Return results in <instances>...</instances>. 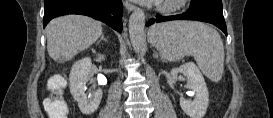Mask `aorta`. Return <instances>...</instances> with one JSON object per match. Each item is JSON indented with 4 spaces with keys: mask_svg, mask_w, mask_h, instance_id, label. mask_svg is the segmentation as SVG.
Returning a JSON list of instances; mask_svg holds the SVG:
<instances>
[{
    "mask_svg": "<svg viewBox=\"0 0 273 118\" xmlns=\"http://www.w3.org/2000/svg\"><path fill=\"white\" fill-rule=\"evenodd\" d=\"M145 14L137 8L129 18V34L133 49L140 52L145 46L144 37Z\"/></svg>",
    "mask_w": 273,
    "mask_h": 118,
    "instance_id": "aorta-1",
    "label": "aorta"
}]
</instances>
